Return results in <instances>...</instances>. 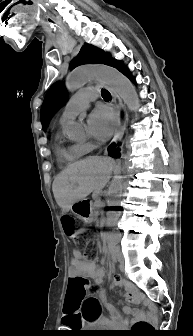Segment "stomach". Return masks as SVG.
I'll return each mask as SVG.
<instances>
[{
	"label": "stomach",
	"mask_w": 193,
	"mask_h": 336,
	"mask_svg": "<svg viewBox=\"0 0 193 336\" xmlns=\"http://www.w3.org/2000/svg\"><path fill=\"white\" fill-rule=\"evenodd\" d=\"M71 211L77 215L84 223L92 222L93 211L92 205L86 200L82 199L72 204Z\"/></svg>",
	"instance_id": "0dacf381"
}]
</instances>
